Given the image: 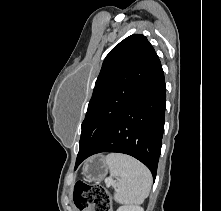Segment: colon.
Returning a JSON list of instances; mask_svg holds the SVG:
<instances>
[{
    "mask_svg": "<svg viewBox=\"0 0 221 211\" xmlns=\"http://www.w3.org/2000/svg\"><path fill=\"white\" fill-rule=\"evenodd\" d=\"M73 200L80 211H111L110 196L99 184L78 181L74 185Z\"/></svg>",
    "mask_w": 221,
    "mask_h": 211,
    "instance_id": "5ec220e1",
    "label": "colon"
}]
</instances>
